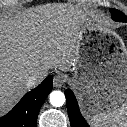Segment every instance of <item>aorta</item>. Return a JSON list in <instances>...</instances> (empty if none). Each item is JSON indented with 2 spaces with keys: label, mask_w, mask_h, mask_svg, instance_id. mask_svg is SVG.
Returning a JSON list of instances; mask_svg holds the SVG:
<instances>
[{
  "label": "aorta",
  "mask_w": 127,
  "mask_h": 127,
  "mask_svg": "<svg viewBox=\"0 0 127 127\" xmlns=\"http://www.w3.org/2000/svg\"><path fill=\"white\" fill-rule=\"evenodd\" d=\"M50 103L55 107H60L65 103V95L63 92L55 90L50 93Z\"/></svg>",
  "instance_id": "762f6f07"
}]
</instances>
